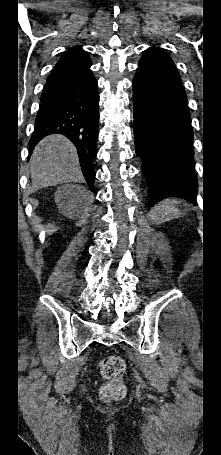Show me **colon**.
<instances>
[{"label":"colon","instance_id":"1","mask_svg":"<svg viewBox=\"0 0 221 455\" xmlns=\"http://www.w3.org/2000/svg\"><path fill=\"white\" fill-rule=\"evenodd\" d=\"M126 369L125 361L117 355H109L100 363L101 375L107 380L101 387V397L106 400H117L124 396L125 385L123 375Z\"/></svg>","mask_w":221,"mask_h":455}]
</instances>
